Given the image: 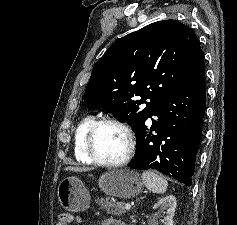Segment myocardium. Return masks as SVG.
<instances>
[{
  "label": "myocardium",
  "instance_id": "myocardium-1",
  "mask_svg": "<svg viewBox=\"0 0 237 225\" xmlns=\"http://www.w3.org/2000/svg\"><path fill=\"white\" fill-rule=\"evenodd\" d=\"M102 125H114L120 128L125 133L128 142V147L125 155L120 160L106 161L101 159L97 155L94 146V139L97 130ZM135 147H136V140L132 129L126 123L111 117H103L98 120H95L89 127L85 138V150L87 155L91 158V160L94 163L106 167H121L126 165L132 158L135 152Z\"/></svg>",
  "mask_w": 237,
  "mask_h": 225
}]
</instances>
